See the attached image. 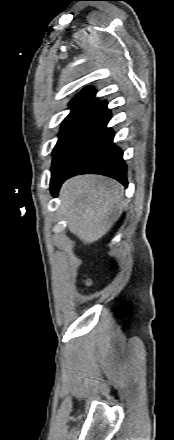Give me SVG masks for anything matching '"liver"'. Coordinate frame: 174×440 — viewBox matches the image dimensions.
Returning a JSON list of instances; mask_svg holds the SVG:
<instances>
[{
    "label": "liver",
    "instance_id": "1",
    "mask_svg": "<svg viewBox=\"0 0 174 440\" xmlns=\"http://www.w3.org/2000/svg\"><path fill=\"white\" fill-rule=\"evenodd\" d=\"M59 198L69 231L85 244L108 233L125 205L123 186L101 175L68 179L60 189Z\"/></svg>",
    "mask_w": 174,
    "mask_h": 440
}]
</instances>
